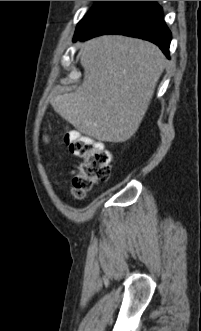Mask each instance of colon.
<instances>
[{"label":"colon","instance_id":"obj_1","mask_svg":"<svg viewBox=\"0 0 201 331\" xmlns=\"http://www.w3.org/2000/svg\"><path fill=\"white\" fill-rule=\"evenodd\" d=\"M70 152L79 159L71 174L72 192L82 199L97 184L110 175V153L104 146L76 131H68L64 137Z\"/></svg>","mask_w":201,"mask_h":331}]
</instances>
